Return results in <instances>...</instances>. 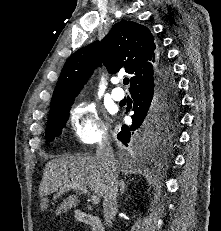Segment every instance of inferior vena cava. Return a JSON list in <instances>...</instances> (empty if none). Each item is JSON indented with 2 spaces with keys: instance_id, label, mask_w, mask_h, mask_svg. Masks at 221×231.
<instances>
[{
  "instance_id": "inferior-vena-cava-1",
  "label": "inferior vena cava",
  "mask_w": 221,
  "mask_h": 231,
  "mask_svg": "<svg viewBox=\"0 0 221 231\" xmlns=\"http://www.w3.org/2000/svg\"><path fill=\"white\" fill-rule=\"evenodd\" d=\"M96 160L101 165L105 176V192L103 201L104 221L107 227L112 226V220L117 210L118 169L109 135L105 134L96 149Z\"/></svg>"
}]
</instances>
